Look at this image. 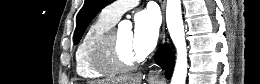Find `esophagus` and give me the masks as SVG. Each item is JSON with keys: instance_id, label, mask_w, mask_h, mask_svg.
I'll return each instance as SVG.
<instances>
[{"instance_id": "obj_1", "label": "esophagus", "mask_w": 260, "mask_h": 84, "mask_svg": "<svg viewBox=\"0 0 260 84\" xmlns=\"http://www.w3.org/2000/svg\"><path fill=\"white\" fill-rule=\"evenodd\" d=\"M165 4H166V0H160V5H161V10H162L163 16H164V12H165ZM165 37H166L165 27L163 25V30H162V34H161L162 43H165ZM148 77H149V80H152V81H158L159 79H161L162 78L161 68L156 67L153 70H151L149 72Z\"/></svg>"}]
</instances>
